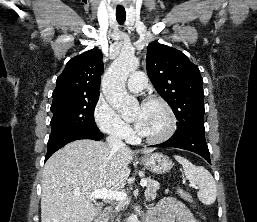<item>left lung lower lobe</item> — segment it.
I'll return each mask as SVG.
<instances>
[{
  "mask_svg": "<svg viewBox=\"0 0 257 222\" xmlns=\"http://www.w3.org/2000/svg\"><path fill=\"white\" fill-rule=\"evenodd\" d=\"M149 147H175L199 154L210 162V153L205 140L204 131H188L182 134H174L169 140Z\"/></svg>",
  "mask_w": 257,
  "mask_h": 222,
  "instance_id": "left-lung-lower-lobe-1",
  "label": "left lung lower lobe"
}]
</instances>
